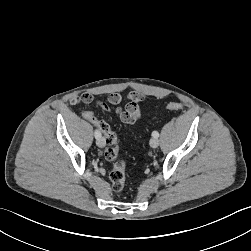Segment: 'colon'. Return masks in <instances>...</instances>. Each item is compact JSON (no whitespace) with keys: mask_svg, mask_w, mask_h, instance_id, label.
<instances>
[{"mask_svg":"<svg viewBox=\"0 0 251 251\" xmlns=\"http://www.w3.org/2000/svg\"><path fill=\"white\" fill-rule=\"evenodd\" d=\"M166 108L171 111H178L183 108V104L180 102H170L166 105ZM82 116L95 125L103 133L107 147L104 151V157L106 160L113 163L112 169L109 174V178L112 184V188L116 192H120L125 187V162L119 157V147L117 143V135L111 130L109 125L99 120L93 109L85 110Z\"/></svg>","mask_w":251,"mask_h":251,"instance_id":"colon-1","label":"colon"}]
</instances>
